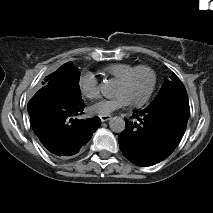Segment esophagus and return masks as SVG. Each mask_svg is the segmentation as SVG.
I'll return each mask as SVG.
<instances>
[{"mask_svg": "<svg viewBox=\"0 0 213 213\" xmlns=\"http://www.w3.org/2000/svg\"><path fill=\"white\" fill-rule=\"evenodd\" d=\"M100 119L102 122H106L111 119V116L110 115H101Z\"/></svg>", "mask_w": 213, "mask_h": 213, "instance_id": "esophagus-1", "label": "esophagus"}]
</instances>
